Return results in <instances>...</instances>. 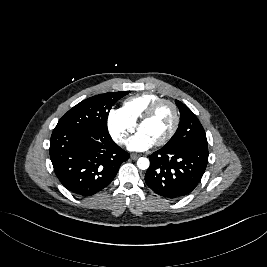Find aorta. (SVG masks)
Instances as JSON below:
<instances>
[{"label": "aorta", "instance_id": "762f6f07", "mask_svg": "<svg viewBox=\"0 0 267 267\" xmlns=\"http://www.w3.org/2000/svg\"><path fill=\"white\" fill-rule=\"evenodd\" d=\"M150 165V162L147 158L145 157H140L138 160H137V167L141 170H146L148 169Z\"/></svg>", "mask_w": 267, "mask_h": 267}]
</instances>
